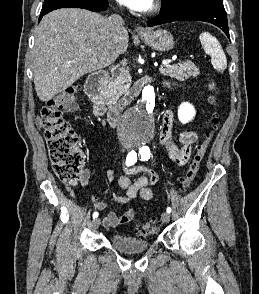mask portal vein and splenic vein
<instances>
[{"instance_id": "obj_1", "label": "portal vein and splenic vein", "mask_w": 259, "mask_h": 294, "mask_svg": "<svg viewBox=\"0 0 259 294\" xmlns=\"http://www.w3.org/2000/svg\"><path fill=\"white\" fill-rule=\"evenodd\" d=\"M171 63V60H163L162 61V65L165 66V65H168Z\"/></svg>"}]
</instances>
